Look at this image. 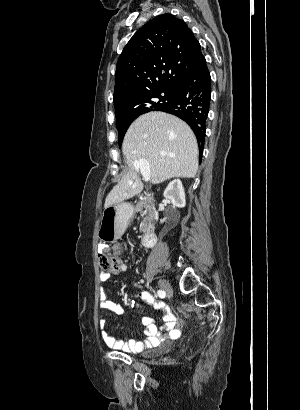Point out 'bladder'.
<instances>
[{
  "label": "bladder",
  "instance_id": "1",
  "mask_svg": "<svg viewBox=\"0 0 300 410\" xmlns=\"http://www.w3.org/2000/svg\"><path fill=\"white\" fill-rule=\"evenodd\" d=\"M172 347V343L170 341L164 342L158 348L155 349L156 352L165 353L169 351Z\"/></svg>",
  "mask_w": 300,
  "mask_h": 410
}]
</instances>
